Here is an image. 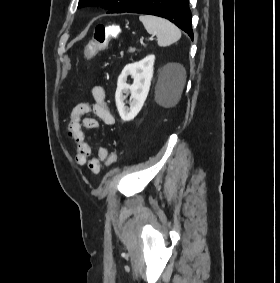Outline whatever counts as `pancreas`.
Segmentation results:
<instances>
[{"instance_id": "cf45deb5", "label": "pancreas", "mask_w": 280, "mask_h": 283, "mask_svg": "<svg viewBox=\"0 0 280 283\" xmlns=\"http://www.w3.org/2000/svg\"><path fill=\"white\" fill-rule=\"evenodd\" d=\"M135 50H136L135 48H132V47H131V48H129V52H130V53L135 52Z\"/></svg>"}]
</instances>
